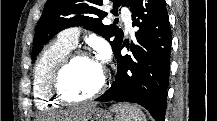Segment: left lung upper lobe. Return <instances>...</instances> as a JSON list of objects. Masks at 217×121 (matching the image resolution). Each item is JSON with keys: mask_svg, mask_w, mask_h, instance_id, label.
<instances>
[{"mask_svg": "<svg viewBox=\"0 0 217 121\" xmlns=\"http://www.w3.org/2000/svg\"><path fill=\"white\" fill-rule=\"evenodd\" d=\"M115 16H118V2L129 7L132 0H110ZM103 0H47L42 16L35 28L32 62L43 46L61 30L83 26L103 36L111 44L115 53L123 41V31L116 25H104L102 18L107 13L100 9Z\"/></svg>", "mask_w": 217, "mask_h": 121, "instance_id": "1", "label": "left lung upper lobe"}]
</instances>
